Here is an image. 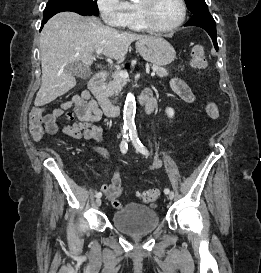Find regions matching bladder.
<instances>
[{
	"label": "bladder",
	"mask_w": 261,
	"mask_h": 273,
	"mask_svg": "<svg viewBox=\"0 0 261 273\" xmlns=\"http://www.w3.org/2000/svg\"><path fill=\"white\" fill-rule=\"evenodd\" d=\"M112 224L128 234L153 232L160 219L156 210L137 203H128L117 209L111 216Z\"/></svg>",
	"instance_id": "31cf9c89"
}]
</instances>
